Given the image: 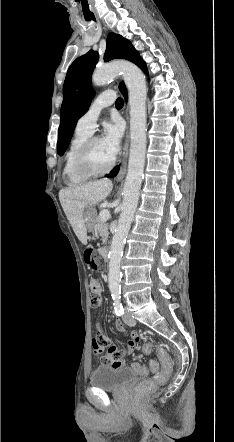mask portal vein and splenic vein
Returning <instances> with one entry per match:
<instances>
[{
	"label": "portal vein and splenic vein",
	"mask_w": 234,
	"mask_h": 442,
	"mask_svg": "<svg viewBox=\"0 0 234 442\" xmlns=\"http://www.w3.org/2000/svg\"><path fill=\"white\" fill-rule=\"evenodd\" d=\"M99 216H100L101 221L105 222L110 218V212L107 209H103L100 212Z\"/></svg>",
	"instance_id": "obj_1"
}]
</instances>
